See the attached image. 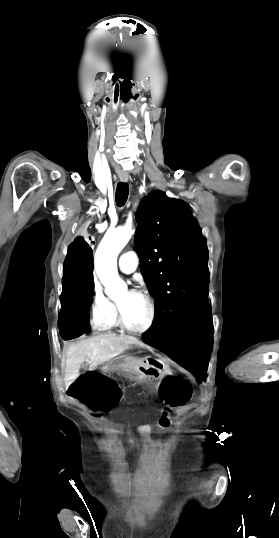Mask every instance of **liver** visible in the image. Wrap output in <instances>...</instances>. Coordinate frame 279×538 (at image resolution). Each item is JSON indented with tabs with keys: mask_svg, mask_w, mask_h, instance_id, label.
<instances>
[{
	"mask_svg": "<svg viewBox=\"0 0 279 538\" xmlns=\"http://www.w3.org/2000/svg\"><path fill=\"white\" fill-rule=\"evenodd\" d=\"M135 346H144L132 336H117V334H99L89 340L68 346L66 352L65 382L70 386L80 376V366L85 358H90L88 370H96V366L109 362L115 356L124 354L125 350Z\"/></svg>",
	"mask_w": 279,
	"mask_h": 538,
	"instance_id": "liver-1",
	"label": "liver"
}]
</instances>
